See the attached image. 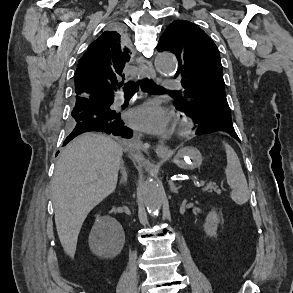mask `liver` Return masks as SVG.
<instances>
[{
    "label": "liver",
    "instance_id": "obj_1",
    "mask_svg": "<svg viewBox=\"0 0 293 293\" xmlns=\"http://www.w3.org/2000/svg\"><path fill=\"white\" fill-rule=\"evenodd\" d=\"M122 156L120 144L94 133L80 135L62 151L51 189L58 237L70 257L89 212L115 191Z\"/></svg>",
    "mask_w": 293,
    "mask_h": 293
}]
</instances>
